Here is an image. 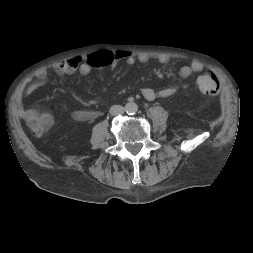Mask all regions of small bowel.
Returning <instances> with one entry per match:
<instances>
[{
    "instance_id": "small-bowel-1",
    "label": "small bowel",
    "mask_w": 253,
    "mask_h": 253,
    "mask_svg": "<svg viewBox=\"0 0 253 253\" xmlns=\"http://www.w3.org/2000/svg\"><path fill=\"white\" fill-rule=\"evenodd\" d=\"M122 60L125 61L126 64L133 66L137 62H148L149 56L147 54H141L138 58H136L130 53L103 51L89 55L84 61L81 59H72L60 62L54 67V70L59 76H67L77 72L82 75H88L94 70L114 65ZM158 61L162 64H166L169 62V58L162 56L158 58ZM202 68L203 66L200 62L193 61L190 64L181 67L177 74L181 78H189L201 71ZM46 76L47 72L44 69H41L36 73V77L39 79H45ZM34 88L35 86H32L29 90ZM178 89V86H170L160 90L143 87L141 92L145 99L152 101L156 98L170 97L177 93ZM22 116L27 125L35 131L39 129L43 131L49 130L54 121L53 116L49 112H43L36 108L25 110ZM71 116L75 121L88 122L98 118L100 116V112L95 110H75L71 113Z\"/></svg>"
}]
</instances>
